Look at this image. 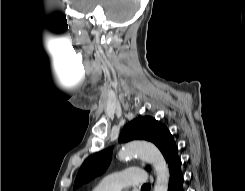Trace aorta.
I'll return each instance as SVG.
<instances>
[{
    "label": "aorta",
    "mask_w": 245,
    "mask_h": 191,
    "mask_svg": "<svg viewBox=\"0 0 245 191\" xmlns=\"http://www.w3.org/2000/svg\"><path fill=\"white\" fill-rule=\"evenodd\" d=\"M118 154L122 159L136 156L151 164L156 173L154 191L168 190L169 169L163 155L155 145L145 141H132L124 145Z\"/></svg>",
    "instance_id": "aorta-1"
}]
</instances>
